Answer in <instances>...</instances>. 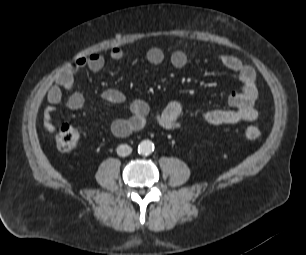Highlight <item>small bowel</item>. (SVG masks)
<instances>
[{
  "label": "small bowel",
  "instance_id": "small-bowel-1",
  "mask_svg": "<svg viewBox=\"0 0 306 255\" xmlns=\"http://www.w3.org/2000/svg\"><path fill=\"white\" fill-rule=\"evenodd\" d=\"M110 58L114 61H121L124 58L123 50L119 47H114L110 51ZM165 58L164 51L159 47H152L146 52V59L152 65L162 64ZM168 59L176 69H182L188 63L187 54L182 50H174L170 53ZM217 60L223 67L236 75L242 88L240 91L232 92L228 97V103L232 109L205 111L202 114L204 121L210 125L217 126L256 120L258 112L255 108V102L258 98V90L255 70L230 54H220L217 56ZM104 66V56L99 53H93L89 56L77 58L56 75L54 84L47 92L49 105L45 108L43 114V126L47 131L53 132L55 130L52 116L55 106L62 103L65 92H71L67 99V106L70 109L79 110L84 106L83 95L74 90L77 73L83 69L98 73ZM101 97L104 101L116 105L124 104L127 101L123 92L113 88L104 90L101 93ZM129 112V117L117 119L111 123L110 128L115 136H127L142 129L151 117L161 127L167 130H177L181 126L184 108L181 103L172 101L161 112L151 114L149 105L144 100L136 99L129 103Z\"/></svg>",
  "mask_w": 306,
  "mask_h": 255
}]
</instances>
